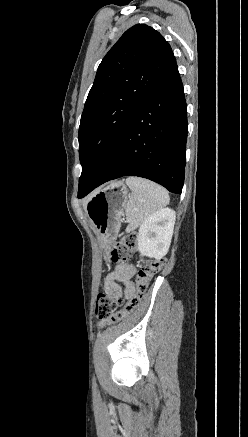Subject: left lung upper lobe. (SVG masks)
Returning a JSON list of instances; mask_svg holds the SVG:
<instances>
[{
    "mask_svg": "<svg viewBox=\"0 0 248 437\" xmlns=\"http://www.w3.org/2000/svg\"><path fill=\"white\" fill-rule=\"evenodd\" d=\"M175 64L168 42L144 24L128 29L103 58L79 126L78 197L109 160L132 114Z\"/></svg>",
    "mask_w": 248,
    "mask_h": 437,
    "instance_id": "left-lung-upper-lobe-1",
    "label": "left lung upper lobe"
}]
</instances>
